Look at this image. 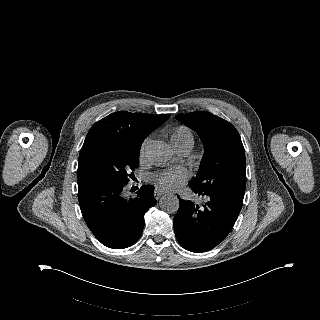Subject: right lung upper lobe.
Returning a JSON list of instances; mask_svg holds the SVG:
<instances>
[{
  "label": "right lung upper lobe",
  "instance_id": "obj_1",
  "mask_svg": "<svg viewBox=\"0 0 320 320\" xmlns=\"http://www.w3.org/2000/svg\"><path fill=\"white\" fill-rule=\"evenodd\" d=\"M170 115H150L120 111L96 122L89 130L79 155L78 177L84 175L80 165L84 157L100 146H135L161 126Z\"/></svg>",
  "mask_w": 320,
  "mask_h": 320
}]
</instances>
